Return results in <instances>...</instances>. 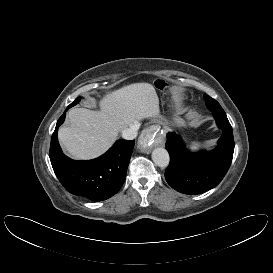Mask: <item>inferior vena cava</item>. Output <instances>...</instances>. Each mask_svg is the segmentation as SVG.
Instances as JSON below:
<instances>
[{
	"label": "inferior vena cava",
	"instance_id": "obj_1",
	"mask_svg": "<svg viewBox=\"0 0 273 273\" xmlns=\"http://www.w3.org/2000/svg\"><path fill=\"white\" fill-rule=\"evenodd\" d=\"M140 127L139 122L133 123L130 127L125 128L121 131L122 137L127 140H133L137 137V131Z\"/></svg>",
	"mask_w": 273,
	"mask_h": 273
}]
</instances>
